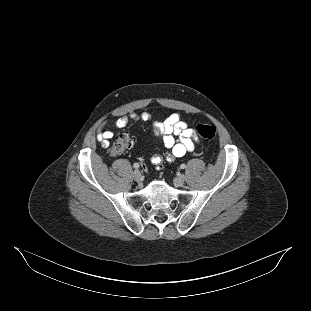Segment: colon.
<instances>
[{"mask_svg":"<svg viewBox=\"0 0 311 311\" xmlns=\"http://www.w3.org/2000/svg\"><path fill=\"white\" fill-rule=\"evenodd\" d=\"M198 134L208 141H214L216 138V129L211 125H199ZM133 145V138L129 133L121 134L108 149L111 156H119L130 149Z\"/></svg>","mask_w":311,"mask_h":311,"instance_id":"5ec220e1","label":"colon"}]
</instances>
